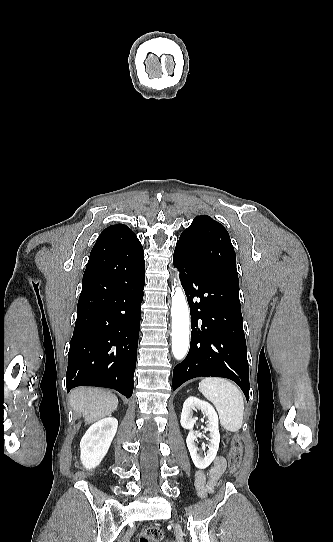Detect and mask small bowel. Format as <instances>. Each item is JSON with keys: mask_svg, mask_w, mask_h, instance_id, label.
I'll use <instances>...</instances> for the list:
<instances>
[{"mask_svg": "<svg viewBox=\"0 0 333 542\" xmlns=\"http://www.w3.org/2000/svg\"><path fill=\"white\" fill-rule=\"evenodd\" d=\"M225 471L226 460L222 456H217L214 459L207 475L201 470L197 471L195 475V487L197 494L201 498H205L209 494H212L215 486L224 476Z\"/></svg>", "mask_w": 333, "mask_h": 542, "instance_id": "c3829d8e", "label": "small bowel"}]
</instances>
